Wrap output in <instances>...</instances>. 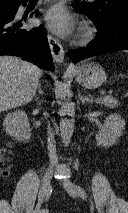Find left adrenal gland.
<instances>
[{"label": "left adrenal gland", "instance_id": "a2214340", "mask_svg": "<svg viewBox=\"0 0 128 213\" xmlns=\"http://www.w3.org/2000/svg\"><path fill=\"white\" fill-rule=\"evenodd\" d=\"M79 99L81 100L82 103H85V102H90L92 103V99H90L89 97L87 96H83L79 93Z\"/></svg>", "mask_w": 128, "mask_h": 213}]
</instances>
